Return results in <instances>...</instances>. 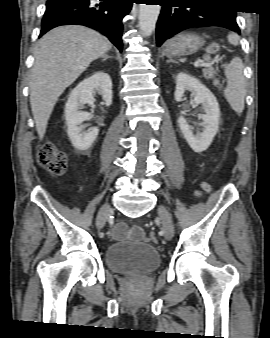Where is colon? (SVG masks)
Segmentation results:
<instances>
[{
	"label": "colon",
	"instance_id": "1",
	"mask_svg": "<svg viewBox=\"0 0 270 338\" xmlns=\"http://www.w3.org/2000/svg\"><path fill=\"white\" fill-rule=\"evenodd\" d=\"M220 51L221 46L218 44L209 46L205 51L206 60H216L220 56ZM38 160L53 177L63 175L67 166L66 154L52 143H46L41 146L38 152ZM202 189L203 191H209V185L203 184ZM148 241L155 243L157 239L155 236L151 235L149 236Z\"/></svg>",
	"mask_w": 270,
	"mask_h": 338
}]
</instances>
